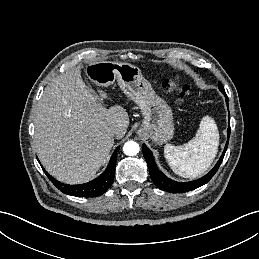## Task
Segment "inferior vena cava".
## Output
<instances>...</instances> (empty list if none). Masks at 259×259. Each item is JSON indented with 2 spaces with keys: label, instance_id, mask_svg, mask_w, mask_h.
Wrapping results in <instances>:
<instances>
[{
  "label": "inferior vena cava",
  "instance_id": "inferior-vena-cava-1",
  "mask_svg": "<svg viewBox=\"0 0 259 259\" xmlns=\"http://www.w3.org/2000/svg\"><path fill=\"white\" fill-rule=\"evenodd\" d=\"M119 132H120V129H119V127H117V126H114V127H112V128L110 129V133H111L112 135H117V134H119Z\"/></svg>",
  "mask_w": 259,
  "mask_h": 259
}]
</instances>
